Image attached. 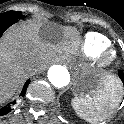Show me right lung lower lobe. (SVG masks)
I'll return each mask as SVG.
<instances>
[{
	"label": "right lung lower lobe",
	"mask_w": 124,
	"mask_h": 124,
	"mask_svg": "<svg viewBox=\"0 0 124 124\" xmlns=\"http://www.w3.org/2000/svg\"><path fill=\"white\" fill-rule=\"evenodd\" d=\"M16 22H17V20H15V19H8V18L7 19H0V37L8 27H10L11 25H13ZM29 83H30V79H28L26 81L20 96L25 95L26 89H27ZM15 103H16V101H14L13 103L8 104L7 106H5L2 109H0V116L11 112V110L13 109Z\"/></svg>",
	"instance_id": "right-lung-lower-lobe-1"
}]
</instances>
